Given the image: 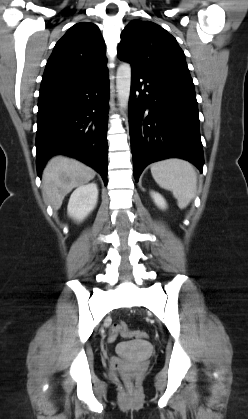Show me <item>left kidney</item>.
<instances>
[{"mask_svg":"<svg viewBox=\"0 0 248 419\" xmlns=\"http://www.w3.org/2000/svg\"><path fill=\"white\" fill-rule=\"evenodd\" d=\"M151 197L153 198L154 203L157 205V207H159L160 209L167 208L166 200L163 198L161 194H159L158 192L152 191Z\"/></svg>","mask_w":248,"mask_h":419,"instance_id":"obj_1","label":"left kidney"}]
</instances>
